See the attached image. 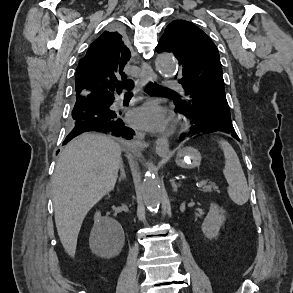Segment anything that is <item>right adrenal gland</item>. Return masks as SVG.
<instances>
[{
	"mask_svg": "<svg viewBox=\"0 0 293 293\" xmlns=\"http://www.w3.org/2000/svg\"><path fill=\"white\" fill-rule=\"evenodd\" d=\"M126 178L125 170H124V165L123 162L120 163V177L118 178L119 182L124 180Z\"/></svg>",
	"mask_w": 293,
	"mask_h": 293,
	"instance_id": "obj_1",
	"label": "right adrenal gland"
}]
</instances>
